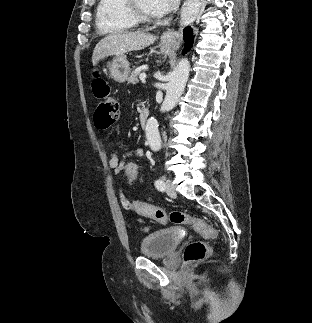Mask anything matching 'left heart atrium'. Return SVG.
Masks as SVG:
<instances>
[{
  "instance_id": "39dd6f15",
  "label": "left heart atrium",
  "mask_w": 312,
  "mask_h": 323,
  "mask_svg": "<svg viewBox=\"0 0 312 323\" xmlns=\"http://www.w3.org/2000/svg\"><path fill=\"white\" fill-rule=\"evenodd\" d=\"M180 0H152L154 12H176Z\"/></svg>"
}]
</instances>
